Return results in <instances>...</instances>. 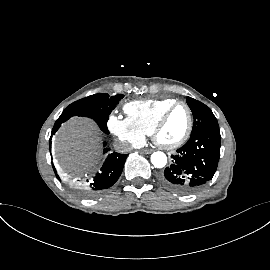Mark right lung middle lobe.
Listing matches in <instances>:
<instances>
[{
    "mask_svg": "<svg viewBox=\"0 0 270 270\" xmlns=\"http://www.w3.org/2000/svg\"><path fill=\"white\" fill-rule=\"evenodd\" d=\"M124 97L122 94L109 97L101 93L88 96L70 104L61 114L59 119H69L73 116H85L108 121L111 111Z\"/></svg>",
    "mask_w": 270,
    "mask_h": 270,
    "instance_id": "obj_1",
    "label": "right lung middle lobe"
}]
</instances>
